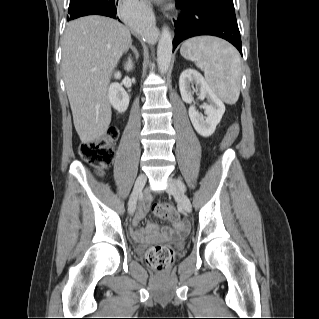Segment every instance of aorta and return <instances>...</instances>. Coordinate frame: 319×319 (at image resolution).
I'll list each match as a JSON object with an SVG mask.
<instances>
[{
	"instance_id": "aorta-1",
	"label": "aorta",
	"mask_w": 319,
	"mask_h": 319,
	"mask_svg": "<svg viewBox=\"0 0 319 319\" xmlns=\"http://www.w3.org/2000/svg\"><path fill=\"white\" fill-rule=\"evenodd\" d=\"M140 30L145 34L149 27L144 20H140ZM172 37L168 27H163L157 47V63L161 74H165L172 58Z\"/></svg>"
}]
</instances>
